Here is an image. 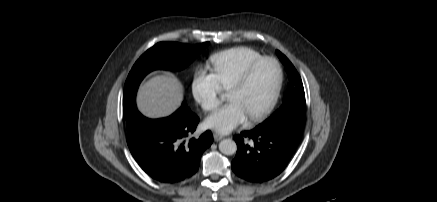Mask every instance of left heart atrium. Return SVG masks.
<instances>
[{"instance_id": "1", "label": "left heart atrium", "mask_w": 437, "mask_h": 202, "mask_svg": "<svg viewBox=\"0 0 437 202\" xmlns=\"http://www.w3.org/2000/svg\"><path fill=\"white\" fill-rule=\"evenodd\" d=\"M247 116L242 106L231 101L215 113L208 116L205 126L220 133H228L245 122Z\"/></svg>"}]
</instances>
